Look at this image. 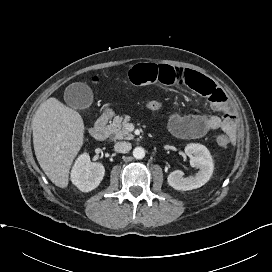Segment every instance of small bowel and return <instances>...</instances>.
I'll return each mask as SVG.
<instances>
[{
    "label": "small bowel",
    "mask_w": 272,
    "mask_h": 272,
    "mask_svg": "<svg viewBox=\"0 0 272 272\" xmlns=\"http://www.w3.org/2000/svg\"><path fill=\"white\" fill-rule=\"evenodd\" d=\"M129 78L135 85H176L188 87L208 98L218 115H182L170 113L167 127L174 136L183 139L200 138L210 131L221 129L232 143L236 141V124L232 108L223 90L212 80L190 69L164 64L140 63L134 66Z\"/></svg>",
    "instance_id": "small-bowel-1"
}]
</instances>
